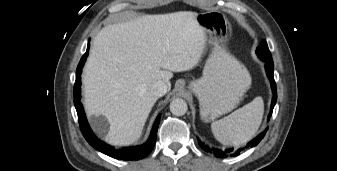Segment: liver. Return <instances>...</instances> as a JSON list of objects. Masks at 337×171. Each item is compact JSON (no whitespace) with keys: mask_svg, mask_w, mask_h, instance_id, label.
<instances>
[{"mask_svg":"<svg viewBox=\"0 0 337 171\" xmlns=\"http://www.w3.org/2000/svg\"><path fill=\"white\" fill-rule=\"evenodd\" d=\"M197 16L192 11L144 15L98 32L82 82L87 114L103 115L110 125L104 136L107 143H135L158 99L152 85L163 81L169 90L172 72L198 64L206 32Z\"/></svg>","mask_w":337,"mask_h":171,"instance_id":"1","label":"liver"}]
</instances>
